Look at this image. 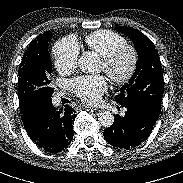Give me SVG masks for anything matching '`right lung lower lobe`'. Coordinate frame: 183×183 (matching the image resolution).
<instances>
[{
	"mask_svg": "<svg viewBox=\"0 0 183 183\" xmlns=\"http://www.w3.org/2000/svg\"><path fill=\"white\" fill-rule=\"evenodd\" d=\"M22 122L30 139L40 148L58 153L67 148L73 138V108H56L52 99L34 100L20 108Z\"/></svg>",
	"mask_w": 183,
	"mask_h": 183,
	"instance_id": "obj_1",
	"label": "right lung lower lobe"
}]
</instances>
